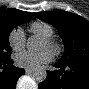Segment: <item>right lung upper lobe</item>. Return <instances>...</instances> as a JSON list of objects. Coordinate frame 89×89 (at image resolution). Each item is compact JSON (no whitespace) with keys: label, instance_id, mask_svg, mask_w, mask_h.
Instances as JSON below:
<instances>
[{"label":"right lung upper lobe","instance_id":"1","mask_svg":"<svg viewBox=\"0 0 89 89\" xmlns=\"http://www.w3.org/2000/svg\"><path fill=\"white\" fill-rule=\"evenodd\" d=\"M2 16H7V17H10L17 21L23 22V23L35 19V17L33 16L32 13L17 10V9H4L1 7L0 8V17H2Z\"/></svg>","mask_w":89,"mask_h":89}]
</instances>
